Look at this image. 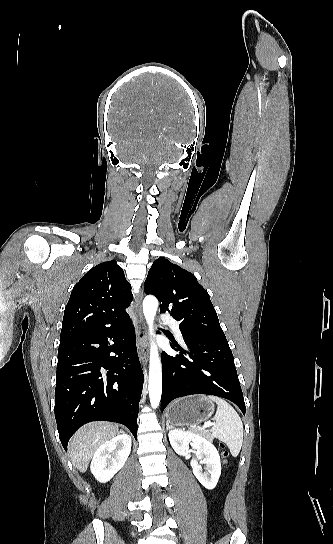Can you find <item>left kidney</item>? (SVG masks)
I'll list each match as a JSON object with an SVG mask.
<instances>
[{"label": "left kidney", "mask_w": 333, "mask_h": 544, "mask_svg": "<svg viewBox=\"0 0 333 544\" xmlns=\"http://www.w3.org/2000/svg\"><path fill=\"white\" fill-rule=\"evenodd\" d=\"M168 436L171 446L180 455L189 450V443L192 442L196 449V459L191 460L193 473L205 488L214 489L221 474V461L212 442L201 435L178 429L170 431ZM201 463L206 464L205 472L202 471Z\"/></svg>", "instance_id": "5707ae66"}]
</instances>
